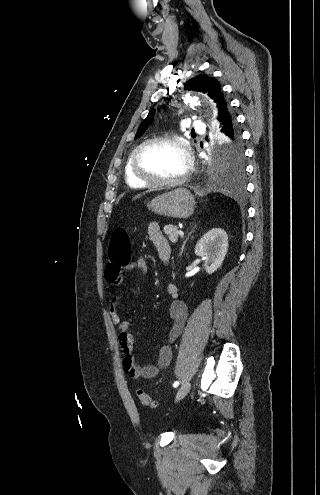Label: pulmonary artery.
<instances>
[{"mask_svg": "<svg viewBox=\"0 0 320 495\" xmlns=\"http://www.w3.org/2000/svg\"><path fill=\"white\" fill-rule=\"evenodd\" d=\"M192 126L196 131H200L203 127V124L200 120H193Z\"/></svg>", "mask_w": 320, "mask_h": 495, "instance_id": "obj_1", "label": "pulmonary artery"}]
</instances>
